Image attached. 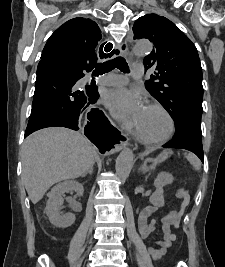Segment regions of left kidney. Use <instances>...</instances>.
Here are the masks:
<instances>
[{
  "label": "left kidney",
  "mask_w": 225,
  "mask_h": 267,
  "mask_svg": "<svg viewBox=\"0 0 225 267\" xmlns=\"http://www.w3.org/2000/svg\"><path fill=\"white\" fill-rule=\"evenodd\" d=\"M173 182V176L166 172H161L158 174L157 178L154 181V185L156 187V191L151 195L150 202L154 206L163 207L164 202V192L163 187L167 184H171Z\"/></svg>",
  "instance_id": "left-kidney-1"
}]
</instances>
